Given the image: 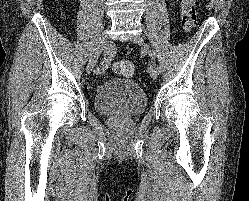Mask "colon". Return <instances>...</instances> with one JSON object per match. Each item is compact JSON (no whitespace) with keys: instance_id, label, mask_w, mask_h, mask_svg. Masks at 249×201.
<instances>
[{"instance_id":"obj_1","label":"colon","mask_w":249,"mask_h":201,"mask_svg":"<svg viewBox=\"0 0 249 201\" xmlns=\"http://www.w3.org/2000/svg\"><path fill=\"white\" fill-rule=\"evenodd\" d=\"M181 25L184 32L193 31L197 23L196 0H181L180 5ZM114 71L123 77H132L135 72L134 64L128 60L115 63Z\"/></svg>"}]
</instances>
